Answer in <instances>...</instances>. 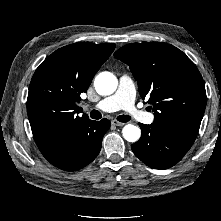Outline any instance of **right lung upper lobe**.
I'll return each mask as SVG.
<instances>
[{
    "mask_svg": "<svg viewBox=\"0 0 221 221\" xmlns=\"http://www.w3.org/2000/svg\"><path fill=\"white\" fill-rule=\"evenodd\" d=\"M114 43L80 42L64 46L36 69L27 99L34 140L41 152L75 137L92 120L78 107L93 76L108 59Z\"/></svg>",
    "mask_w": 221,
    "mask_h": 221,
    "instance_id": "right-lung-upper-lobe-1",
    "label": "right lung upper lobe"
}]
</instances>
